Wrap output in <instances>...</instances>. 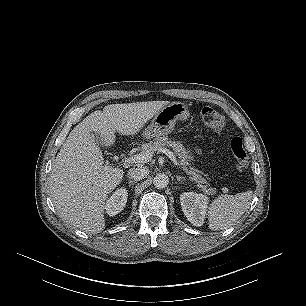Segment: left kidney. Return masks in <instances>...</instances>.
I'll return each instance as SVG.
<instances>
[{
	"instance_id": "1",
	"label": "left kidney",
	"mask_w": 306,
	"mask_h": 306,
	"mask_svg": "<svg viewBox=\"0 0 306 306\" xmlns=\"http://www.w3.org/2000/svg\"><path fill=\"white\" fill-rule=\"evenodd\" d=\"M209 198L203 194L184 192L180 195V203L184 215L194 226L204 223Z\"/></svg>"
}]
</instances>
